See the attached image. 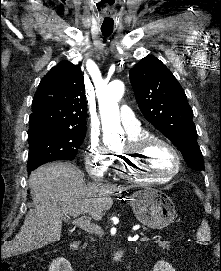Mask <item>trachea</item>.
<instances>
[{
	"mask_svg": "<svg viewBox=\"0 0 221 271\" xmlns=\"http://www.w3.org/2000/svg\"><path fill=\"white\" fill-rule=\"evenodd\" d=\"M104 37H108L113 32V27L101 28Z\"/></svg>",
	"mask_w": 221,
	"mask_h": 271,
	"instance_id": "1",
	"label": "trachea"
}]
</instances>
